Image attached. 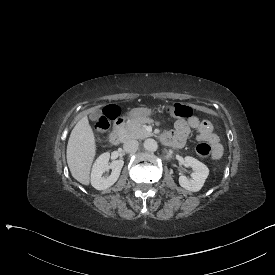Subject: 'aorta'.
<instances>
[{"label": "aorta", "instance_id": "obj_1", "mask_svg": "<svg viewBox=\"0 0 275 275\" xmlns=\"http://www.w3.org/2000/svg\"><path fill=\"white\" fill-rule=\"evenodd\" d=\"M144 148L148 152H156L158 150V143L154 139H147L144 143Z\"/></svg>", "mask_w": 275, "mask_h": 275}]
</instances>
